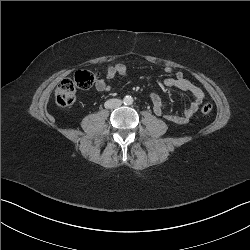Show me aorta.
I'll return each instance as SVG.
<instances>
[{
    "label": "aorta",
    "instance_id": "762f6f07",
    "mask_svg": "<svg viewBox=\"0 0 250 250\" xmlns=\"http://www.w3.org/2000/svg\"><path fill=\"white\" fill-rule=\"evenodd\" d=\"M123 102L125 105H131L133 103V98L131 96H125Z\"/></svg>",
    "mask_w": 250,
    "mask_h": 250
}]
</instances>
